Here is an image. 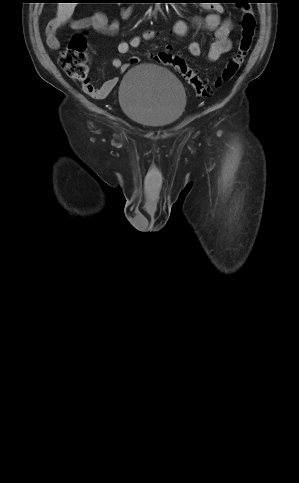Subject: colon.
I'll return each mask as SVG.
<instances>
[{
  "mask_svg": "<svg viewBox=\"0 0 299 483\" xmlns=\"http://www.w3.org/2000/svg\"><path fill=\"white\" fill-rule=\"evenodd\" d=\"M256 19L253 11L243 8L240 23V37L234 54L227 61L222 71L212 80L198 76L187 62L169 50L160 51L152 56V60L176 70L200 97L210 96L224 83L237 74L247 57L255 35ZM87 39L83 34H76L63 50L59 64L68 76L82 83L83 87L91 89L88 79L89 68L86 58Z\"/></svg>",
  "mask_w": 299,
  "mask_h": 483,
  "instance_id": "obj_1",
  "label": "colon"
}]
</instances>
